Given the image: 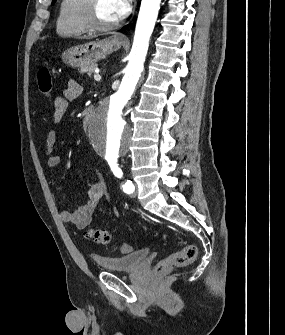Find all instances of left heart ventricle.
<instances>
[{
	"label": "left heart ventricle",
	"mask_w": 285,
	"mask_h": 335,
	"mask_svg": "<svg viewBox=\"0 0 285 335\" xmlns=\"http://www.w3.org/2000/svg\"><path fill=\"white\" fill-rule=\"evenodd\" d=\"M96 18L100 24L110 25L115 22L112 1H96Z\"/></svg>",
	"instance_id": "obj_1"
}]
</instances>
